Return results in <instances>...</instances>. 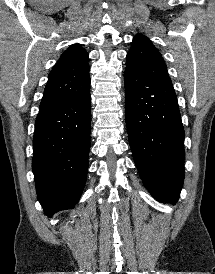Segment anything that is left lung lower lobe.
I'll return each instance as SVG.
<instances>
[{
	"label": "left lung lower lobe",
	"mask_w": 215,
	"mask_h": 274,
	"mask_svg": "<svg viewBox=\"0 0 215 274\" xmlns=\"http://www.w3.org/2000/svg\"><path fill=\"white\" fill-rule=\"evenodd\" d=\"M125 117L140 177L158 201L176 203L184 180V129L172 83L125 68Z\"/></svg>",
	"instance_id": "1"
}]
</instances>
